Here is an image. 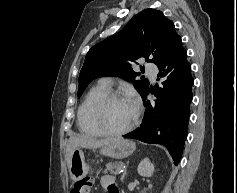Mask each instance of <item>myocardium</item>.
Returning a JSON list of instances; mask_svg holds the SVG:
<instances>
[{
  "label": "myocardium",
  "instance_id": "f54148a6",
  "mask_svg": "<svg viewBox=\"0 0 237 193\" xmlns=\"http://www.w3.org/2000/svg\"><path fill=\"white\" fill-rule=\"evenodd\" d=\"M115 100H130L135 105V116H134L132 122L124 129L117 130V131L111 130V129H108L107 127H105L102 123V120H101L102 113H103L105 106L109 102L115 101ZM140 114H141V109H140V105L138 104V102L131 100L130 98H128L127 96H125L119 92L108 91V92L104 93L103 95H101L94 103L92 110H91V119H92V123L94 124V126L100 131V133L102 135L119 137V136L129 133L131 130L134 129V127L137 125V123L139 121Z\"/></svg>",
  "mask_w": 237,
  "mask_h": 193
}]
</instances>
